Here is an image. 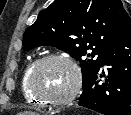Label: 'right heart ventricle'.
<instances>
[{
	"label": "right heart ventricle",
	"instance_id": "e07e8e85",
	"mask_svg": "<svg viewBox=\"0 0 131 115\" xmlns=\"http://www.w3.org/2000/svg\"><path fill=\"white\" fill-rule=\"evenodd\" d=\"M37 61V59L29 61L23 69L20 79V89L27 103L35 107H40L43 105V103L38 98H36L29 89V75Z\"/></svg>",
	"mask_w": 131,
	"mask_h": 115
}]
</instances>
